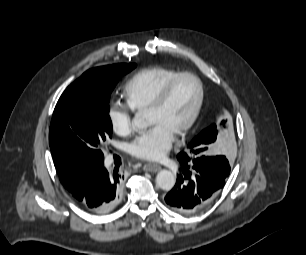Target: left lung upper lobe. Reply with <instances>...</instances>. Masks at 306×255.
<instances>
[{
	"label": "left lung upper lobe",
	"mask_w": 306,
	"mask_h": 255,
	"mask_svg": "<svg viewBox=\"0 0 306 255\" xmlns=\"http://www.w3.org/2000/svg\"><path fill=\"white\" fill-rule=\"evenodd\" d=\"M224 122H222L223 124ZM218 134L216 124L204 129L198 136H196L187 146V152H181L188 155L191 159H195L201 163H205L215 169L224 172H230V166L225 156H205L204 153L208 145L213 143Z\"/></svg>",
	"instance_id": "5c2ea615"
}]
</instances>
